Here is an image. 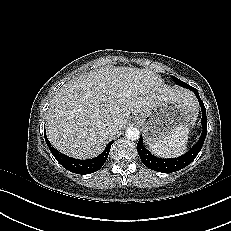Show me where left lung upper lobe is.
Segmentation results:
<instances>
[{
	"label": "left lung upper lobe",
	"instance_id": "obj_1",
	"mask_svg": "<svg viewBox=\"0 0 231 231\" xmlns=\"http://www.w3.org/2000/svg\"><path fill=\"white\" fill-rule=\"evenodd\" d=\"M173 79H174L180 86H182V87H186V86H187V84H186L185 82L179 80L178 78L173 77Z\"/></svg>",
	"mask_w": 231,
	"mask_h": 231
}]
</instances>
